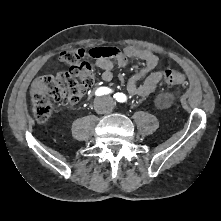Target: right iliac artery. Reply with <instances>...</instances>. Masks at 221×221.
<instances>
[{
    "label": "right iliac artery",
    "mask_w": 221,
    "mask_h": 221,
    "mask_svg": "<svg viewBox=\"0 0 221 221\" xmlns=\"http://www.w3.org/2000/svg\"><path fill=\"white\" fill-rule=\"evenodd\" d=\"M109 93H112V90L110 88L100 87L96 90L95 95L96 96H102V95L109 94Z\"/></svg>",
    "instance_id": "1"
}]
</instances>
